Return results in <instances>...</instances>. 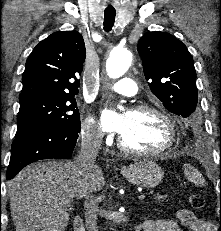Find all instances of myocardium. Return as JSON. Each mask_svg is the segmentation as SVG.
Instances as JSON below:
<instances>
[{
  "instance_id": "f54148a6",
  "label": "myocardium",
  "mask_w": 221,
  "mask_h": 231,
  "mask_svg": "<svg viewBox=\"0 0 221 231\" xmlns=\"http://www.w3.org/2000/svg\"><path fill=\"white\" fill-rule=\"evenodd\" d=\"M131 112L133 113H152V114L158 115L165 122L167 126L168 141L163 147L156 149V150H138V149H133V148H129L128 146H126L123 143L121 136H120L117 140V145L122 151L128 154H131V155L157 157V156H161L167 153L169 150H171L175 146L176 140H177L176 126L173 121V118L170 116L168 112L156 106H152V105H137L131 110Z\"/></svg>"
}]
</instances>
